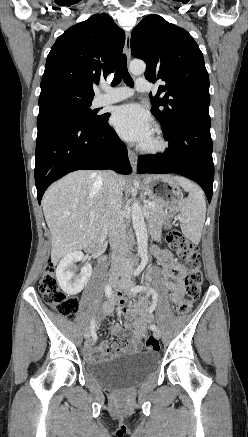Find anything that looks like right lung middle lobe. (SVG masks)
I'll return each mask as SVG.
<instances>
[{
  "label": "right lung middle lobe",
  "mask_w": 248,
  "mask_h": 437,
  "mask_svg": "<svg viewBox=\"0 0 248 437\" xmlns=\"http://www.w3.org/2000/svg\"><path fill=\"white\" fill-rule=\"evenodd\" d=\"M93 98H86L66 92H51L39 97V111L56 109L70 113L85 122L102 120L108 114L98 115L96 110H91Z\"/></svg>",
  "instance_id": "1"
}]
</instances>
